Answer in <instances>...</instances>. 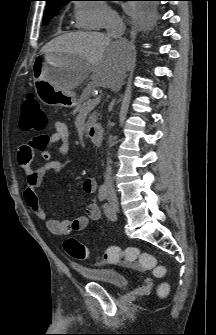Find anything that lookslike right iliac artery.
<instances>
[{"instance_id": "82829eb1", "label": "right iliac artery", "mask_w": 216, "mask_h": 335, "mask_svg": "<svg viewBox=\"0 0 216 335\" xmlns=\"http://www.w3.org/2000/svg\"><path fill=\"white\" fill-rule=\"evenodd\" d=\"M107 196V189H106V186L102 185L99 189V192H98V198L100 201H103L105 200Z\"/></svg>"}]
</instances>
